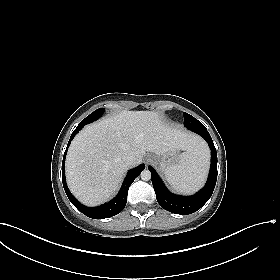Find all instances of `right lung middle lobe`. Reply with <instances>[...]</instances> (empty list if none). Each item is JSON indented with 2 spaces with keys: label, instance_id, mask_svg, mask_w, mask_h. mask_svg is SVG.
<instances>
[{
  "label": "right lung middle lobe",
  "instance_id": "1",
  "mask_svg": "<svg viewBox=\"0 0 280 280\" xmlns=\"http://www.w3.org/2000/svg\"><path fill=\"white\" fill-rule=\"evenodd\" d=\"M103 111H104V108H99V109L95 110L90 115H88L85 119H83L81 121V123L86 125L88 123H91V122L97 120L102 115Z\"/></svg>",
  "mask_w": 280,
  "mask_h": 280
}]
</instances>
